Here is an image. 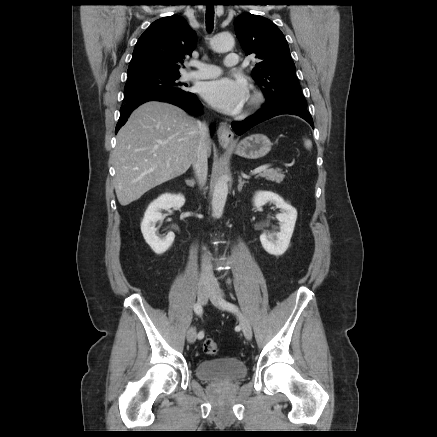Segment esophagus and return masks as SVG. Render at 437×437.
Wrapping results in <instances>:
<instances>
[{"label": "esophagus", "instance_id": "obj_1", "mask_svg": "<svg viewBox=\"0 0 437 437\" xmlns=\"http://www.w3.org/2000/svg\"><path fill=\"white\" fill-rule=\"evenodd\" d=\"M218 141L223 146L231 145L234 142V134L226 122H222L217 130Z\"/></svg>", "mask_w": 437, "mask_h": 437}]
</instances>
